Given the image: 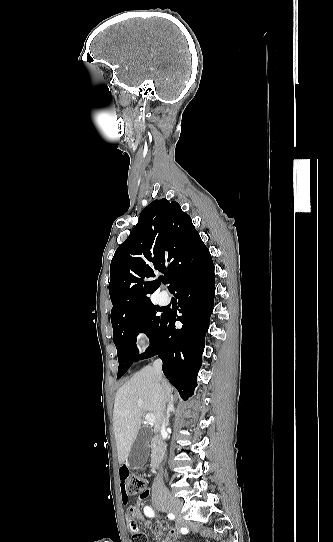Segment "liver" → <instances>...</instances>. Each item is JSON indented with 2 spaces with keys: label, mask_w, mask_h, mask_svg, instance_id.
Instances as JSON below:
<instances>
[{
  "label": "liver",
  "mask_w": 333,
  "mask_h": 542,
  "mask_svg": "<svg viewBox=\"0 0 333 542\" xmlns=\"http://www.w3.org/2000/svg\"><path fill=\"white\" fill-rule=\"evenodd\" d=\"M167 402H173L172 388L162 378V374L155 372L153 366H146L136 372L131 380L117 390L113 430L120 466L129 456L140 430L141 418L146 412L154 414V432H160Z\"/></svg>",
  "instance_id": "1"
}]
</instances>
